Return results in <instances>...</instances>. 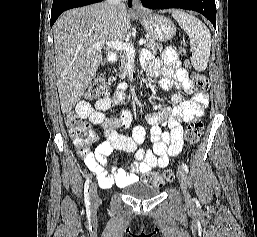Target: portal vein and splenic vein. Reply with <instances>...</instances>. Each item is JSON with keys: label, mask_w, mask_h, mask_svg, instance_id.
Returning <instances> with one entry per match:
<instances>
[{"label": "portal vein and splenic vein", "mask_w": 257, "mask_h": 237, "mask_svg": "<svg viewBox=\"0 0 257 237\" xmlns=\"http://www.w3.org/2000/svg\"><path fill=\"white\" fill-rule=\"evenodd\" d=\"M145 43H146V41L144 39L139 41V45H143ZM92 46L96 50H102V48L104 46H107L108 48H110L112 50L124 51V52L128 53L129 55L135 54V48L130 43L98 41V42H95Z\"/></svg>", "instance_id": "obj_1"}]
</instances>
